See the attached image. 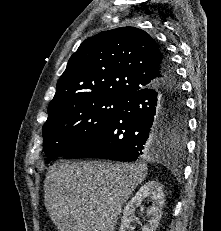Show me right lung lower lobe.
Masks as SVG:
<instances>
[{"label":"right lung lower lobe","instance_id":"obj_1","mask_svg":"<svg viewBox=\"0 0 221 231\" xmlns=\"http://www.w3.org/2000/svg\"><path fill=\"white\" fill-rule=\"evenodd\" d=\"M162 79L125 99L119 110L95 133L63 158L135 161L161 154L171 144L164 136L168 104L183 100L172 61L163 50Z\"/></svg>","mask_w":221,"mask_h":231}]
</instances>
